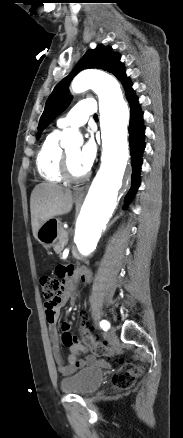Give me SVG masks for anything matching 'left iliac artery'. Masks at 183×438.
<instances>
[{
  "label": "left iliac artery",
  "mask_w": 183,
  "mask_h": 438,
  "mask_svg": "<svg viewBox=\"0 0 183 438\" xmlns=\"http://www.w3.org/2000/svg\"><path fill=\"white\" fill-rule=\"evenodd\" d=\"M100 327L104 330L107 331L110 328V323L106 320H102L100 322Z\"/></svg>",
  "instance_id": "44dca946"
}]
</instances>
